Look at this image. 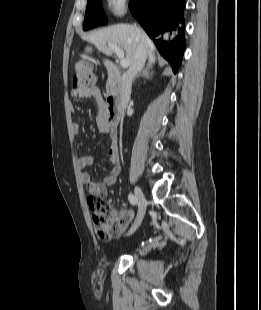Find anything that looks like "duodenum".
<instances>
[{"mask_svg":"<svg viewBox=\"0 0 261 310\" xmlns=\"http://www.w3.org/2000/svg\"><path fill=\"white\" fill-rule=\"evenodd\" d=\"M106 67L109 74V87L106 95L105 108L108 124L115 132V127L120 116L121 72L119 68L110 61L106 63Z\"/></svg>","mask_w":261,"mask_h":310,"instance_id":"1","label":"duodenum"}]
</instances>
